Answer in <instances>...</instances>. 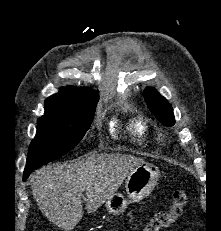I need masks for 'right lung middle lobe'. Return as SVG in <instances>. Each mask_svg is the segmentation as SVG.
Listing matches in <instances>:
<instances>
[{"label":"right lung middle lobe","instance_id":"right-lung-middle-lobe-1","mask_svg":"<svg viewBox=\"0 0 221 231\" xmlns=\"http://www.w3.org/2000/svg\"><path fill=\"white\" fill-rule=\"evenodd\" d=\"M96 105L76 112H45L38 119L25 170L39 168L73 149L90 128Z\"/></svg>","mask_w":221,"mask_h":231}]
</instances>
